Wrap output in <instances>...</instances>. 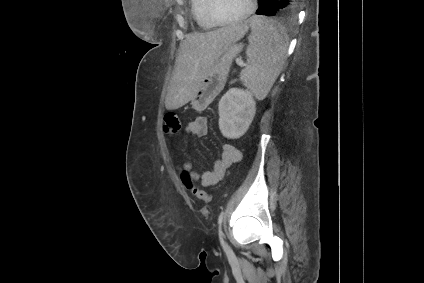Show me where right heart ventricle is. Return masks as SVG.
Returning a JSON list of instances; mask_svg holds the SVG:
<instances>
[{
    "label": "right heart ventricle",
    "mask_w": 424,
    "mask_h": 283,
    "mask_svg": "<svg viewBox=\"0 0 424 283\" xmlns=\"http://www.w3.org/2000/svg\"><path fill=\"white\" fill-rule=\"evenodd\" d=\"M206 0H191V13L197 25L205 30L213 29L216 25L211 23L205 12Z\"/></svg>",
    "instance_id": "obj_1"
}]
</instances>
